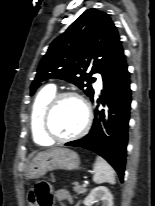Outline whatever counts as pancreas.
Here are the masks:
<instances>
[{"label": "pancreas", "instance_id": "pancreas-1", "mask_svg": "<svg viewBox=\"0 0 155 206\" xmlns=\"http://www.w3.org/2000/svg\"><path fill=\"white\" fill-rule=\"evenodd\" d=\"M74 187L73 190L78 193V194H84L87 192V189H85L84 187H82L81 185H79L78 182H74L73 183Z\"/></svg>", "mask_w": 155, "mask_h": 206}]
</instances>
